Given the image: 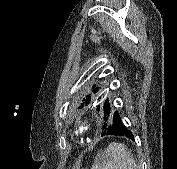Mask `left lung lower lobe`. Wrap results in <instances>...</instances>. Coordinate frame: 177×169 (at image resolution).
<instances>
[{"label":"left lung lower lobe","instance_id":"0a47b994","mask_svg":"<svg viewBox=\"0 0 177 169\" xmlns=\"http://www.w3.org/2000/svg\"><path fill=\"white\" fill-rule=\"evenodd\" d=\"M105 135L125 136L131 140H134L132 132L124 126L117 112L114 113L111 124L101 134V136Z\"/></svg>","mask_w":177,"mask_h":169}]
</instances>
